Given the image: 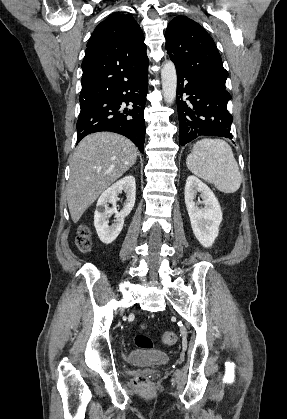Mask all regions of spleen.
Here are the masks:
<instances>
[{"instance_id": "spleen-1", "label": "spleen", "mask_w": 287, "mask_h": 419, "mask_svg": "<svg viewBox=\"0 0 287 419\" xmlns=\"http://www.w3.org/2000/svg\"><path fill=\"white\" fill-rule=\"evenodd\" d=\"M188 169L219 191L230 194L241 185L242 176L230 145L222 139L197 141L187 156Z\"/></svg>"}]
</instances>
